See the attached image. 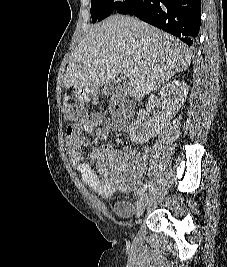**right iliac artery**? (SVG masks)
Masks as SVG:
<instances>
[{"instance_id":"obj_1","label":"right iliac artery","mask_w":227,"mask_h":267,"mask_svg":"<svg viewBox=\"0 0 227 267\" xmlns=\"http://www.w3.org/2000/svg\"><path fill=\"white\" fill-rule=\"evenodd\" d=\"M146 188H147V183H145V184L141 187V189H140V191H139V198H141V196L144 194Z\"/></svg>"}]
</instances>
